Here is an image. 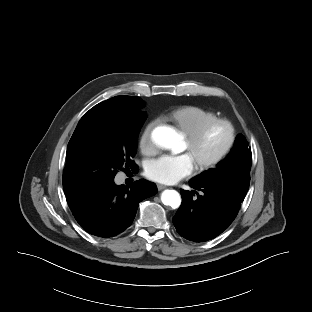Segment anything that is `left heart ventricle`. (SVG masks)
<instances>
[{"mask_svg":"<svg viewBox=\"0 0 312 312\" xmlns=\"http://www.w3.org/2000/svg\"><path fill=\"white\" fill-rule=\"evenodd\" d=\"M228 129L224 125H217L189 150L184 140L181 151L186 152L194 166L217 155L226 145Z\"/></svg>","mask_w":312,"mask_h":312,"instance_id":"obj_1","label":"left heart ventricle"}]
</instances>
